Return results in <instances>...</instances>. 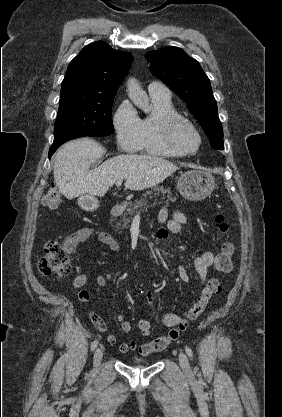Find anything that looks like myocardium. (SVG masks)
<instances>
[{
	"instance_id": "1",
	"label": "myocardium",
	"mask_w": 282,
	"mask_h": 417,
	"mask_svg": "<svg viewBox=\"0 0 282 417\" xmlns=\"http://www.w3.org/2000/svg\"><path fill=\"white\" fill-rule=\"evenodd\" d=\"M157 123L164 129L163 139L165 144L179 155H190L193 151L185 149L177 142L174 133L176 128L183 127L187 129L196 136L198 144L201 142V136L198 130L182 115L177 113H162L158 116Z\"/></svg>"
}]
</instances>
